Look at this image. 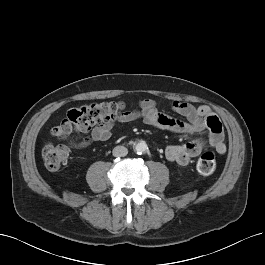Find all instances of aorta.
<instances>
[{
	"instance_id": "762f6f07",
	"label": "aorta",
	"mask_w": 265,
	"mask_h": 265,
	"mask_svg": "<svg viewBox=\"0 0 265 265\" xmlns=\"http://www.w3.org/2000/svg\"><path fill=\"white\" fill-rule=\"evenodd\" d=\"M148 150V146L145 141H140L135 145V151L139 154L145 153Z\"/></svg>"
}]
</instances>
